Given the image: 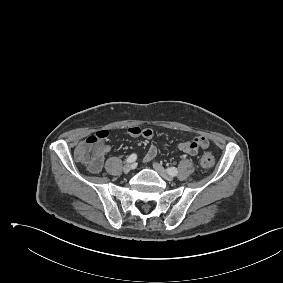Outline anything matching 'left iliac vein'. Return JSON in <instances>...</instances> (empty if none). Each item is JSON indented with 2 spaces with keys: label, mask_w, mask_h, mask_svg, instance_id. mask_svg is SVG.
Listing matches in <instances>:
<instances>
[{
  "label": "left iliac vein",
  "mask_w": 283,
  "mask_h": 283,
  "mask_svg": "<svg viewBox=\"0 0 283 283\" xmlns=\"http://www.w3.org/2000/svg\"><path fill=\"white\" fill-rule=\"evenodd\" d=\"M153 167L154 169L159 173V175L164 178L165 180L167 181H172L173 180V176L170 175L162 165H160L159 163L157 162H154L153 163Z\"/></svg>",
  "instance_id": "1"
}]
</instances>
